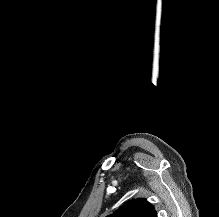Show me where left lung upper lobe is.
<instances>
[{
	"label": "left lung upper lobe",
	"mask_w": 219,
	"mask_h": 217,
	"mask_svg": "<svg viewBox=\"0 0 219 217\" xmlns=\"http://www.w3.org/2000/svg\"><path fill=\"white\" fill-rule=\"evenodd\" d=\"M107 217H157V212L147 200L134 199Z\"/></svg>",
	"instance_id": "5c2ea615"
}]
</instances>
